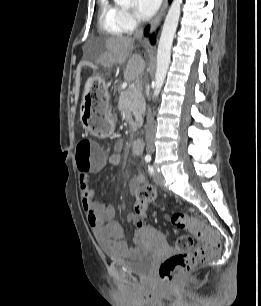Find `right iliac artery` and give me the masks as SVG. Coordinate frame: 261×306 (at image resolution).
Masks as SVG:
<instances>
[{
  "instance_id": "right-iliac-artery-1",
  "label": "right iliac artery",
  "mask_w": 261,
  "mask_h": 306,
  "mask_svg": "<svg viewBox=\"0 0 261 306\" xmlns=\"http://www.w3.org/2000/svg\"><path fill=\"white\" fill-rule=\"evenodd\" d=\"M145 161L148 163L151 161V156L150 155H146L145 156Z\"/></svg>"
}]
</instances>
